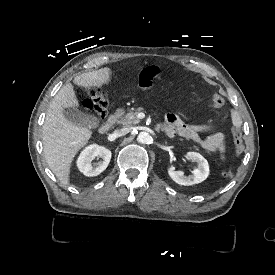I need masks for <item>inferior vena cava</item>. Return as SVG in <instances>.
I'll return each instance as SVG.
<instances>
[{
	"label": "inferior vena cava",
	"mask_w": 275,
	"mask_h": 275,
	"mask_svg": "<svg viewBox=\"0 0 275 275\" xmlns=\"http://www.w3.org/2000/svg\"><path fill=\"white\" fill-rule=\"evenodd\" d=\"M131 131V128L128 127H123L121 129H117L114 131V136L115 137H122L127 135Z\"/></svg>",
	"instance_id": "1"
}]
</instances>
